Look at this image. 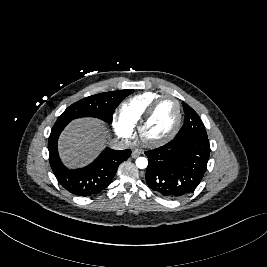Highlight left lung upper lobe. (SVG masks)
<instances>
[{"label":"left lung upper lobe","mask_w":267,"mask_h":267,"mask_svg":"<svg viewBox=\"0 0 267 267\" xmlns=\"http://www.w3.org/2000/svg\"><path fill=\"white\" fill-rule=\"evenodd\" d=\"M185 113L184 124L175 139L191 135L207 137L206 129L199 115L186 103H182Z\"/></svg>","instance_id":"obj_1"}]
</instances>
